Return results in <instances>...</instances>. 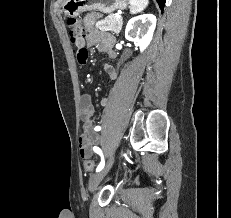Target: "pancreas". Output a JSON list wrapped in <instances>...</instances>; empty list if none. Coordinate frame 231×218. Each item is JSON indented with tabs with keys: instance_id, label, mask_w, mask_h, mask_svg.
Here are the masks:
<instances>
[{
	"instance_id": "cf45deb5",
	"label": "pancreas",
	"mask_w": 231,
	"mask_h": 218,
	"mask_svg": "<svg viewBox=\"0 0 231 218\" xmlns=\"http://www.w3.org/2000/svg\"><path fill=\"white\" fill-rule=\"evenodd\" d=\"M122 18H116L115 14H110L105 19L96 23V28L101 31H112L119 33L122 28Z\"/></svg>"
}]
</instances>
